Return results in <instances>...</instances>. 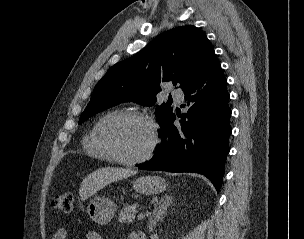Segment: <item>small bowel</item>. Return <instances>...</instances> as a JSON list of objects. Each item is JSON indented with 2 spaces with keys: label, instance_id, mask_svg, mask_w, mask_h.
<instances>
[{
  "label": "small bowel",
  "instance_id": "1",
  "mask_svg": "<svg viewBox=\"0 0 304 239\" xmlns=\"http://www.w3.org/2000/svg\"><path fill=\"white\" fill-rule=\"evenodd\" d=\"M132 235H130L128 239H131L130 237ZM68 237H69V232L65 228L57 229L52 235V239H68ZM85 239H102V238L97 232L91 231L86 234Z\"/></svg>",
  "mask_w": 304,
  "mask_h": 239
}]
</instances>
